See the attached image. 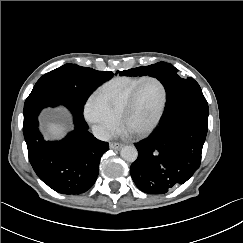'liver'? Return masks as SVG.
Returning a JSON list of instances; mask_svg holds the SVG:
<instances>
[{
  "label": "liver",
  "mask_w": 243,
  "mask_h": 243,
  "mask_svg": "<svg viewBox=\"0 0 243 243\" xmlns=\"http://www.w3.org/2000/svg\"><path fill=\"white\" fill-rule=\"evenodd\" d=\"M68 129V123L63 122H47L45 125V133L49 139H60L64 136Z\"/></svg>",
  "instance_id": "6515ba94"
}]
</instances>
